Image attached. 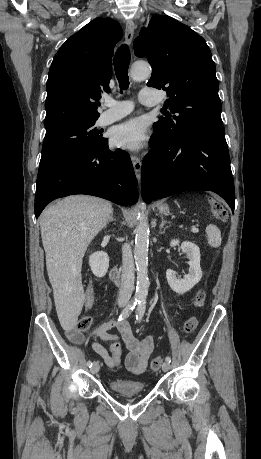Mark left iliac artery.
<instances>
[{
	"mask_svg": "<svg viewBox=\"0 0 261 459\" xmlns=\"http://www.w3.org/2000/svg\"><path fill=\"white\" fill-rule=\"evenodd\" d=\"M145 309H146V301L144 299L138 301V307L136 309V319L138 322L142 320L144 313H145ZM165 360L169 363L171 362V358L169 356H167Z\"/></svg>",
	"mask_w": 261,
	"mask_h": 459,
	"instance_id": "left-iliac-artery-1",
	"label": "left iliac artery"
}]
</instances>
